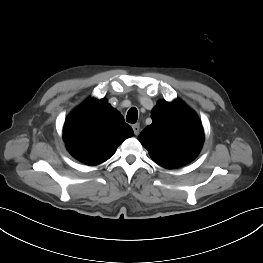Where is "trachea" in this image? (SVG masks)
<instances>
[{
	"label": "trachea",
	"instance_id": "3493384b",
	"mask_svg": "<svg viewBox=\"0 0 263 263\" xmlns=\"http://www.w3.org/2000/svg\"><path fill=\"white\" fill-rule=\"evenodd\" d=\"M137 119H138L137 109L135 107L130 108L126 116V121L129 123H136Z\"/></svg>",
	"mask_w": 263,
	"mask_h": 263
}]
</instances>
